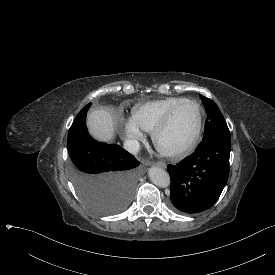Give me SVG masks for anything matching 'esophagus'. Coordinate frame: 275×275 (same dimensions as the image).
<instances>
[{"instance_id": "esophagus-1", "label": "esophagus", "mask_w": 275, "mask_h": 275, "mask_svg": "<svg viewBox=\"0 0 275 275\" xmlns=\"http://www.w3.org/2000/svg\"><path fill=\"white\" fill-rule=\"evenodd\" d=\"M147 165L151 164L150 162H146ZM156 166H159L161 168H166V163L165 162H162V161H158L155 163Z\"/></svg>"}]
</instances>
